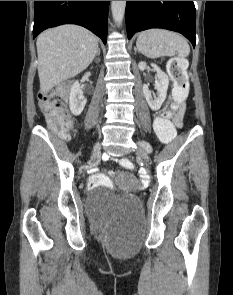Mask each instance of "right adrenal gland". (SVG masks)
Segmentation results:
<instances>
[{"label":"right adrenal gland","instance_id":"obj_1","mask_svg":"<svg viewBox=\"0 0 233 295\" xmlns=\"http://www.w3.org/2000/svg\"><path fill=\"white\" fill-rule=\"evenodd\" d=\"M100 55V48L98 49V52H97V56H99Z\"/></svg>","mask_w":233,"mask_h":295}]
</instances>
